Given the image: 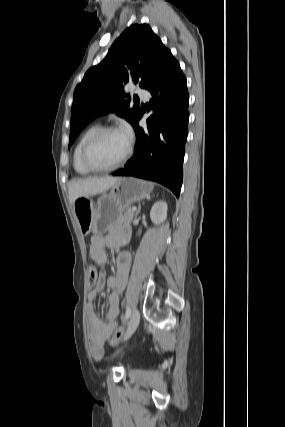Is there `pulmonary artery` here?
Instances as JSON below:
<instances>
[{
	"label": "pulmonary artery",
	"mask_w": 285,
	"mask_h": 427,
	"mask_svg": "<svg viewBox=\"0 0 285 427\" xmlns=\"http://www.w3.org/2000/svg\"><path fill=\"white\" fill-rule=\"evenodd\" d=\"M136 94L142 100H147L148 99V93H147V91L144 88L137 87Z\"/></svg>",
	"instance_id": "obj_1"
}]
</instances>
